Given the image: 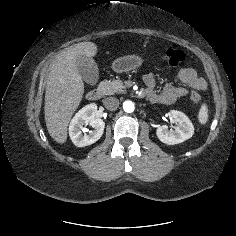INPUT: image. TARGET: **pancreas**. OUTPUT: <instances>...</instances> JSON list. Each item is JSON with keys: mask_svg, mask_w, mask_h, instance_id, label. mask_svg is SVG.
I'll return each instance as SVG.
<instances>
[{"mask_svg": "<svg viewBox=\"0 0 236 236\" xmlns=\"http://www.w3.org/2000/svg\"><path fill=\"white\" fill-rule=\"evenodd\" d=\"M104 94L105 95H113L115 93H123L126 90V86L123 85L121 80H113V81H104Z\"/></svg>", "mask_w": 236, "mask_h": 236, "instance_id": "cf45deb5", "label": "pancreas"}]
</instances>
